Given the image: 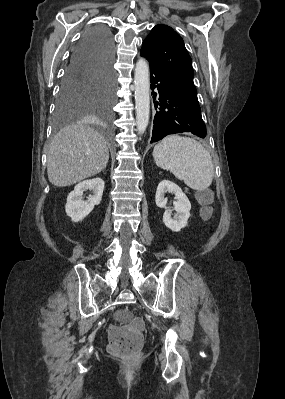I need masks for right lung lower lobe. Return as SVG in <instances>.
I'll return each instance as SVG.
<instances>
[{
  "instance_id": "obj_1",
  "label": "right lung lower lobe",
  "mask_w": 285,
  "mask_h": 399,
  "mask_svg": "<svg viewBox=\"0 0 285 399\" xmlns=\"http://www.w3.org/2000/svg\"><path fill=\"white\" fill-rule=\"evenodd\" d=\"M113 58L114 47L110 31L104 26L90 28L73 51L65 77L111 80Z\"/></svg>"
}]
</instances>
